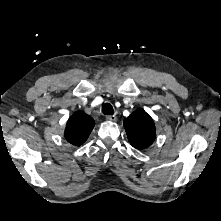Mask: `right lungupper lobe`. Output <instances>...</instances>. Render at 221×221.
<instances>
[{
  "label": "right lung upper lobe",
  "instance_id": "1",
  "mask_svg": "<svg viewBox=\"0 0 221 221\" xmlns=\"http://www.w3.org/2000/svg\"><path fill=\"white\" fill-rule=\"evenodd\" d=\"M94 125L95 122L91 116L82 111H77L67 122L65 138L69 143L80 146L87 140Z\"/></svg>",
  "mask_w": 221,
  "mask_h": 221
}]
</instances>
